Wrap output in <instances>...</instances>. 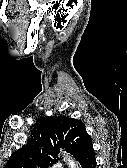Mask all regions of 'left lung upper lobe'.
Instances as JSON below:
<instances>
[{"label":"left lung upper lobe","instance_id":"left-lung-upper-lobe-1","mask_svg":"<svg viewBox=\"0 0 127 168\" xmlns=\"http://www.w3.org/2000/svg\"><path fill=\"white\" fill-rule=\"evenodd\" d=\"M89 137L82 121L64 117H43L35 124L33 135L21 149L15 151L5 168H48L60 148L75 158L85 139Z\"/></svg>","mask_w":127,"mask_h":168}]
</instances>
